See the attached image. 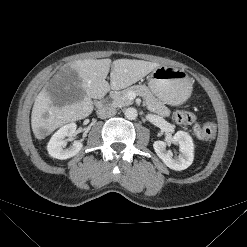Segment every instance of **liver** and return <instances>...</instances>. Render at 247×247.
<instances>
[{
  "instance_id": "obj_1",
  "label": "liver",
  "mask_w": 247,
  "mask_h": 247,
  "mask_svg": "<svg viewBox=\"0 0 247 247\" xmlns=\"http://www.w3.org/2000/svg\"><path fill=\"white\" fill-rule=\"evenodd\" d=\"M158 63L135 59H85L66 64L78 74L82 90L71 103L56 105L43 88L37 95L31 114V126L39 139L66 123L84 119L94 108L93 99L102 98L107 92L124 89L159 67ZM110 85L106 77L110 71Z\"/></svg>"
}]
</instances>
